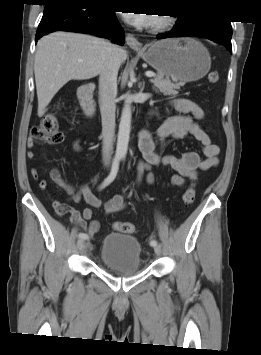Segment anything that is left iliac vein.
Listing matches in <instances>:
<instances>
[{
  "label": "left iliac vein",
  "instance_id": "left-iliac-vein-1",
  "mask_svg": "<svg viewBox=\"0 0 261 355\" xmlns=\"http://www.w3.org/2000/svg\"><path fill=\"white\" fill-rule=\"evenodd\" d=\"M154 252L156 255H160L161 254V247L159 245H155Z\"/></svg>",
  "mask_w": 261,
  "mask_h": 355
}]
</instances>
